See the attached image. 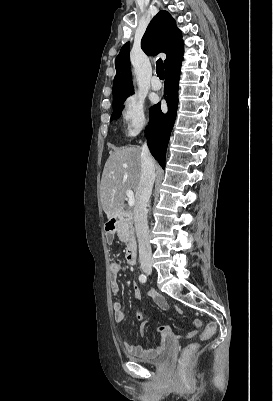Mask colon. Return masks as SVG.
<instances>
[{"label":"colon","mask_w":273,"mask_h":401,"mask_svg":"<svg viewBox=\"0 0 273 401\" xmlns=\"http://www.w3.org/2000/svg\"><path fill=\"white\" fill-rule=\"evenodd\" d=\"M214 322H211V325L208 329H205L201 339L204 342L211 341L215 327L213 326ZM202 351V346L200 340H189L187 344H185L184 349H181L180 356L181 362L178 364L177 373L180 381H192L194 375L192 373V369L190 367V358H198L199 353Z\"/></svg>","instance_id":"5ec220e1"}]
</instances>
